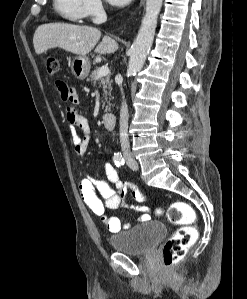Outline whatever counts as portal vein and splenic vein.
I'll return each instance as SVG.
<instances>
[{
    "instance_id": "18ae733b",
    "label": "portal vein and splenic vein",
    "mask_w": 247,
    "mask_h": 299,
    "mask_svg": "<svg viewBox=\"0 0 247 299\" xmlns=\"http://www.w3.org/2000/svg\"><path fill=\"white\" fill-rule=\"evenodd\" d=\"M109 73V68L107 65H103L100 67L99 71H98V74H97V77L100 78V77H104L106 76L107 74Z\"/></svg>"
}]
</instances>
